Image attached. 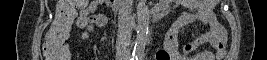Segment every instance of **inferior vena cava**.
Wrapping results in <instances>:
<instances>
[{
    "instance_id": "obj_1",
    "label": "inferior vena cava",
    "mask_w": 267,
    "mask_h": 60,
    "mask_svg": "<svg viewBox=\"0 0 267 60\" xmlns=\"http://www.w3.org/2000/svg\"><path fill=\"white\" fill-rule=\"evenodd\" d=\"M120 3L119 16H118V27L120 32L130 36L133 28V22L129 18V10L124 4V0H118ZM125 53L129 54L128 50H124Z\"/></svg>"
}]
</instances>
